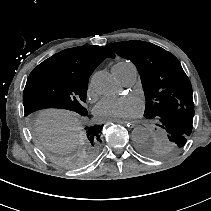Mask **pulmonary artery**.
Returning a JSON list of instances; mask_svg holds the SVG:
<instances>
[{"label": "pulmonary artery", "mask_w": 211, "mask_h": 211, "mask_svg": "<svg viewBox=\"0 0 211 211\" xmlns=\"http://www.w3.org/2000/svg\"><path fill=\"white\" fill-rule=\"evenodd\" d=\"M114 71V68H113ZM137 78V69L136 67L130 68L127 71L123 72L119 79L124 85H131L136 81Z\"/></svg>", "instance_id": "e3ab8cb5"}]
</instances>
